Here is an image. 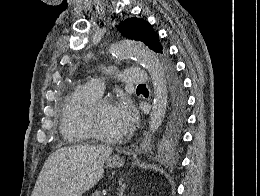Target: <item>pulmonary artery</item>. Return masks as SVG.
I'll return each mask as SVG.
<instances>
[{"label":"pulmonary artery","instance_id":"pulmonary-artery-1","mask_svg":"<svg viewBox=\"0 0 260 196\" xmlns=\"http://www.w3.org/2000/svg\"><path fill=\"white\" fill-rule=\"evenodd\" d=\"M115 77H117L118 81H123V84H150L148 73L143 72V69H120V72H115ZM103 80V76H98L95 83L101 84ZM94 89L101 95L104 86L95 85Z\"/></svg>","mask_w":260,"mask_h":196}]
</instances>
